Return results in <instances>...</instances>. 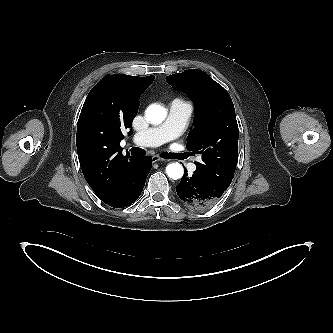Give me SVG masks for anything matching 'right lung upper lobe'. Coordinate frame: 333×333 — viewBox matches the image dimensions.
<instances>
[{"label":"right lung upper lobe","mask_w":333,"mask_h":333,"mask_svg":"<svg viewBox=\"0 0 333 333\" xmlns=\"http://www.w3.org/2000/svg\"><path fill=\"white\" fill-rule=\"evenodd\" d=\"M154 78L106 76L91 89L82 107L76 135L79 162L86 181L105 203L120 192L127 166L136 158L122 154V132L131 128L139 98Z\"/></svg>","instance_id":"1"}]
</instances>
